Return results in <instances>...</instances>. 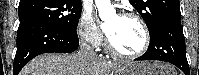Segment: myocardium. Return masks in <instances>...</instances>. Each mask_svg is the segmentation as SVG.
Here are the masks:
<instances>
[{
  "label": "myocardium",
  "mask_w": 199,
  "mask_h": 75,
  "mask_svg": "<svg viewBox=\"0 0 199 75\" xmlns=\"http://www.w3.org/2000/svg\"><path fill=\"white\" fill-rule=\"evenodd\" d=\"M121 17L125 18V19H132L139 24V26L143 32V39H144L143 45H142L141 49L136 52H126V51H123V50L119 49L118 47H116L109 37L107 38V45L112 52H114L120 56H123L126 58H137V57L143 55L148 50V48L150 46V32H149L148 26L140 16H138L134 13H123Z\"/></svg>",
  "instance_id": "1"
}]
</instances>
